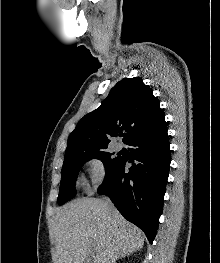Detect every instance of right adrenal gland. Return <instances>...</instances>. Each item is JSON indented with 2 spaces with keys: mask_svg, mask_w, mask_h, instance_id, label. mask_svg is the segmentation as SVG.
Instances as JSON below:
<instances>
[{
  "mask_svg": "<svg viewBox=\"0 0 220 263\" xmlns=\"http://www.w3.org/2000/svg\"><path fill=\"white\" fill-rule=\"evenodd\" d=\"M127 254H122L121 256H120V258H122V257H125Z\"/></svg>",
  "mask_w": 220,
  "mask_h": 263,
  "instance_id": "obj_1",
  "label": "right adrenal gland"
}]
</instances>
